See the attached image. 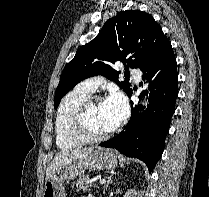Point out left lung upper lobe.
Masks as SVG:
<instances>
[{"label":"left lung upper lobe","mask_w":209,"mask_h":197,"mask_svg":"<svg viewBox=\"0 0 209 197\" xmlns=\"http://www.w3.org/2000/svg\"><path fill=\"white\" fill-rule=\"evenodd\" d=\"M165 40L167 37L161 27L148 13L139 10L119 12L108 19L99 34L81 46L65 66L55 92V109L77 83L94 75H103L115 81L128 95L132 90L129 80L118 82L119 72L113 65L122 61L126 69L140 68Z\"/></svg>","instance_id":"1"}]
</instances>
